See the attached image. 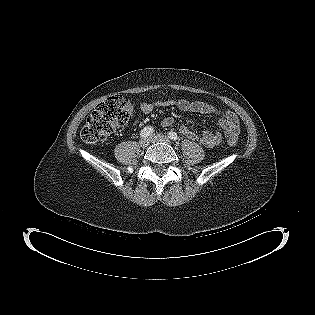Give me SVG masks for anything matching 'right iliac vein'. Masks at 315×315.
Instances as JSON below:
<instances>
[{
	"label": "right iliac vein",
	"mask_w": 315,
	"mask_h": 315,
	"mask_svg": "<svg viewBox=\"0 0 315 315\" xmlns=\"http://www.w3.org/2000/svg\"><path fill=\"white\" fill-rule=\"evenodd\" d=\"M150 143V139L148 138H142L140 141H139V144L142 148H146Z\"/></svg>",
	"instance_id": "63e3f726"
}]
</instances>
